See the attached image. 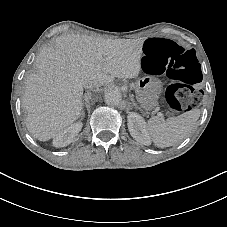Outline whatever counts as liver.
<instances>
[{
	"mask_svg": "<svg viewBox=\"0 0 227 227\" xmlns=\"http://www.w3.org/2000/svg\"><path fill=\"white\" fill-rule=\"evenodd\" d=\"M145 40L71 34L58 37L55 47L43 48L36 59L37 72L24 80L22 107L29 132L47 141L77 120L89 83L94 84L91 88L99 87L97 83L111 87L116 77L136 78Z\"/></svg>",
	"mask_w": 227,
	"mask_h": 227,
	"instance_id": "6515ba94",
	"label": "liver"
}]
</instances>
